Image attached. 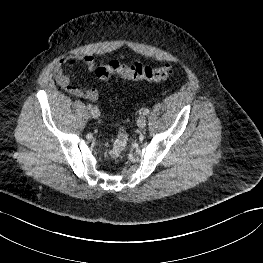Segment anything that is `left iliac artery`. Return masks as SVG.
<instances>
[{
  "label": "left iliac artery",
  "mask_w": 263,
  "mask_h": 263,
  "mask_svg": "<svg viewBox=\"0 0 263 263\" xmlns=\"http://www.w3.org/2000/svg\"><path fill=\"white\" fill-rule=\"evenodd\" d=\"M148 113H149V109H148V108H146V109L143 110V114H144V115H147Z\"/></svg>",
  "instance_id": "44dca946"
}]
</instances>
